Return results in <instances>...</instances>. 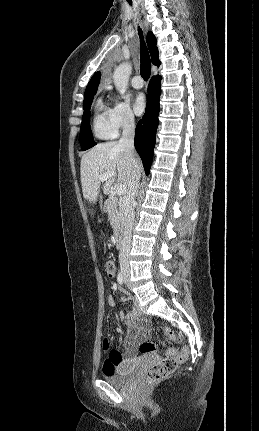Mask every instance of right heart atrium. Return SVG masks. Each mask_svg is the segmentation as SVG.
<instances>
[{
	"label": "right heart atrium",
	"mask_w": 259,
	"mask_h": 431,
	"mask_svg": "<svg viewBox=\"0 0 259 431\" xmlns=\"http://www.w3.org/2000/svg\"><path fill=\"white\" fill-rule=\"evenodd\" d=\"M110 124L114 131L131 128L135 125V116L130 106L123 101H115L108 110Z\"/></svg>",
	"instance_id": "obj_1"
}]
</instances>
